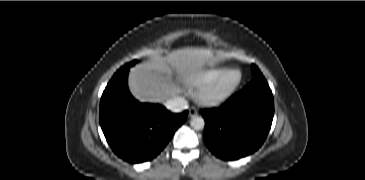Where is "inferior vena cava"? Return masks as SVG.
Wrapping results in <instances>:
<instances>
[{"mask_svg":"<svg viewBox=\"0 0 365 180\" xmlns=\"http://www.w3.org/2000/svg\"><path fill=\"white\" fill-rule=\"evenodd\" d=\"M165 107L172 112H181L188 108V102L183 97H174L166 101Z\"/></svg>","mask_w":365,"mask_h":180,"instance_id":"602c4592","label":"inferior vena cava"}]
</instances>
